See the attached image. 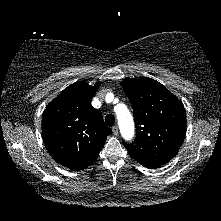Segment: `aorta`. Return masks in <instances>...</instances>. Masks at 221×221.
<instances>
[{"mask_svg": "<svg viewBox=\"0 0 221 221\" xmlns=\"http://www.w3.org/2000/svg\"><path fill=\"white\" fill-rule=\"evenodd\" d=\"M122 137L131 140L134 136V120L128 108L121 104L115 109Z\"/></svg>", "mask_w": 221, "mask_h": 221, "instance_id": "aorta-1", "label": "aorta"}]
</instances>
